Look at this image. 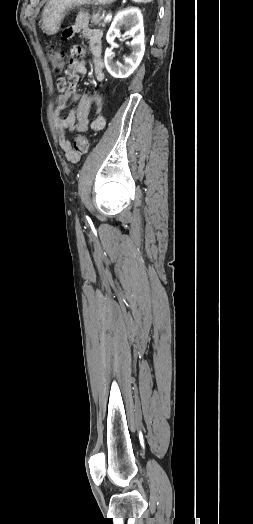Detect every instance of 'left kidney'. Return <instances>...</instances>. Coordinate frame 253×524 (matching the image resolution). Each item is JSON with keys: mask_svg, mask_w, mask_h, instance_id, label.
<instances>
[{"mask_svg": "<svg viewBox=\"0 0 253 524\" xmlns=\"http://www.w3.org/2000/svg\"><path fill=\"white\" fill-rule=\"evenodd\" d=\"M123 25L128 29L125 34L133 37L130 43L132 52L124 58V64L114 61V54L109 48L105 50L106 69L115 78L130 76L139 66L145 52L143 16L137 8L125 9L115 16L106 35L107 42L114 41L115 37L119 35V28Z\"/></svg>", "mask_w": 253, "mask_h": 524, "instance_id": "1", "label": "left kidney"}]
</instances>
